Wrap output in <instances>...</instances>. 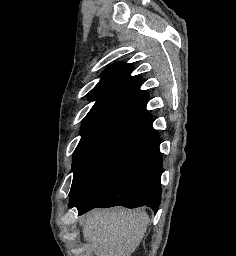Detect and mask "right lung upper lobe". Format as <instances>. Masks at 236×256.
I'll return each instance as SVG.
<instances>
[{
  "mask_svg": "<svg viewBox=\"0 0 236 256\" xmlns=\"http://www.w3.org/2000/svg\"><path fill=\"white\" fill-rule=\"evenodd\" d=\"M132 71L131 64L119 62L103 72L99 83L90 92V99L96 102L83 122L122 117L152 124L151 114L146 110L149 96L140 90L138 77L130 76Z\"/></svg>",
  "mask_w": 236,
  "mask_h": 256,
  "instance_id": "obj_1",
  "label": "right lung upper lobe"
}]
</instances>
